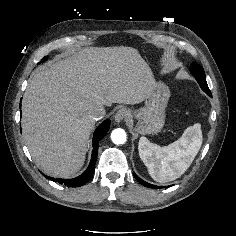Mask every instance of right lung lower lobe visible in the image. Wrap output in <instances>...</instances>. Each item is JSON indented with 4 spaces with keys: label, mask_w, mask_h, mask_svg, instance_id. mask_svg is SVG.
<instances>
[{
    "label": "right lung lower lobe",
    "mask_w": 236,
    "mask_h": 236,
    "mask_svg": "<svg viewBox=\"0 0 236 236\" xmlns=\"http://www.w3.org/2000/svg\"><path fill=\"white\" fill-rule=\"evenodd\" d=\"M109 127H110V120H106L101 125H99V127L96 129L93 136V151H92L91 162L87 170L82 175L73 179H59V178L55 179L48 176L46 177L52 181L58 182L60 184H64L69 187H79L87 183L89 179L92 177L93 172H94L99 141L106 135V133L109 130Z\"/></svg>",
    "instance_id": "1"
}]
</instances>
